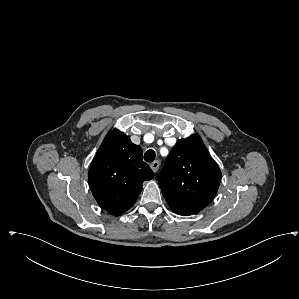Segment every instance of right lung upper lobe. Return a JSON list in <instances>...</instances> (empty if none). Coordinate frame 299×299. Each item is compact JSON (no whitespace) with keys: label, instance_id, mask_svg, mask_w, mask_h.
I'll list each match as a JSON object with an SVG mask.
<instances>
[{"label":"right lung upper lobe","instance_id":"obj_1","mask_svg":"<svg viewBox=\"0 0 299 299\" xmlns=\"http://www.w3.org/2000/svg\"><path fill=\"white\" fill-rule=\"evenodd\" d=\"M142 149L130 137L115 129L98 149L88 173V181L98 204L113 215H120L136 202L143 182L154 173L142 160Z\"/></svg>","mask_w":299,"mask_h":299}]
</instances>
